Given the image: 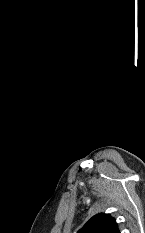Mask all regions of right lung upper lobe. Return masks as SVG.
<instances>
[{
    "instance_id": "1",
    "label": "right lung upper lobe",
    "mask_w": 145,
    "mask_h": 233,
    "mask_svg": "<svg viewBox=\"0 0 145 233\" xmlns=\"http://www.w3.org/2000/svg\"><path fill=\"white\" fill-rule=\"evenodd\" d=\"M78 233H120L115 219L100 213L92 217Z\"/></svg>"
}]
</instances>
